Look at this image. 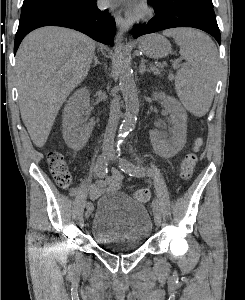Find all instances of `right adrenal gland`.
I'll return each instance as SVG.
<instances>
[{
	"instance_id": "obj_1",
	"label": "right adrenal gland",
	"mask_w": 245,
	"mask_h": 300,
	"mask_svg": "<svg viewBox=\"0 0 245 300\" xmlns=\"http://www.w3.org/2000/svg\"><path fill=\"white\" fill-rule=\"evenodd\" d=\"M101 63L98 60V57L94 54V64L92 67H95L96 65H100Z\"/></svg>"
}]
</instances>
